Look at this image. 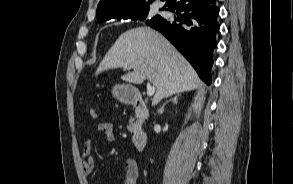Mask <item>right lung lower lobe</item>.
<instances>
[{"mask_svg":"<svg viewBox=\"0 0 293 184\" xmlns=\"http://www.w3.org/2000/svg\"><path fill=\"white\" fill-rule=\"evenodd\" d=\"M216 0H169V10L181 16L175 21L163 18L146 22L159 30L192 64L200 78L211 83L213 50L216 47V33L219 8Z\"/></svg>","mask_w":293,"mask_h":184,"instance_id":"1","label":"right lung lower lobe"}]
</instances>
